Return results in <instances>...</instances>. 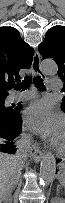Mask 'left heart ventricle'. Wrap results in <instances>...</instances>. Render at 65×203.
<instances>
[{"instance_id":"left-heart-ventricle-1","label":"left heart ventricle","mask_w":65,"mask_h":203,"mask_svg":"<svg viewBox=\"0 0 65 203\" xmlns=\"http://www.w3.org/2000/svg\"><path fill=\"white\" fill-rule=\"evenodd\" d=\"M56 144L60 147L65 145V133H63L62 136L56 141Z\"/></svg>"}]
</instances>
